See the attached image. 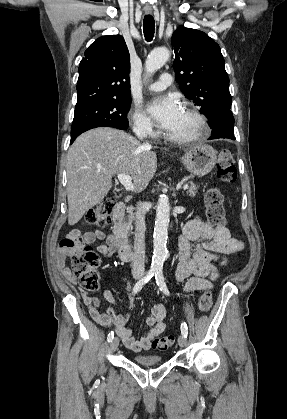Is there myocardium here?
I'll list each match as a JSON object with an SVG mask.
<instances>
[{"mask_svg": "<svg viewBox=\"0 0 287 419\" xmlns=\"http://www.w3.org/2000/svg\"><path fill=\"white\" fill-rule=\"evenodd\" d=\"M184 110L189 113L198 123V129L193 134L187 136H175L169 133L166 134L168 140L179 144H188L204 139L210 133L209 124L205 116L196 108L186 105Z\"/></svg>", "mask_w": 287, "mask_h": 419, "instance_id": "f54148a6", "label": "myocardium"}]
</instances>
